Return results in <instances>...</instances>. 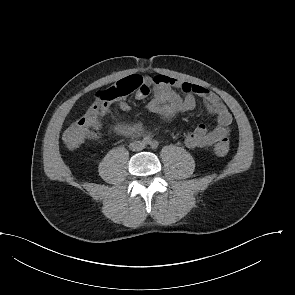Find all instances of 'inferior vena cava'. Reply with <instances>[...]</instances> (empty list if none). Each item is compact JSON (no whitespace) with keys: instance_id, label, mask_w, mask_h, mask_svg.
Here are the masks:
<instances>
[{"instance_id":"602c4592","label":"inferior vena cava","mask_w":295,"mask_h":295,"mask_svg":"<svg viewBox=\"0 0 295 295\" xmlns=\"http://www.w3.org/2000/svg\"><path fill=\"white\" fill-rule=\"evenodd\" d=\"M144 148V144L141 141H134L130 144V149L133 151H140Z\"/></svg>"}]
</instances>
